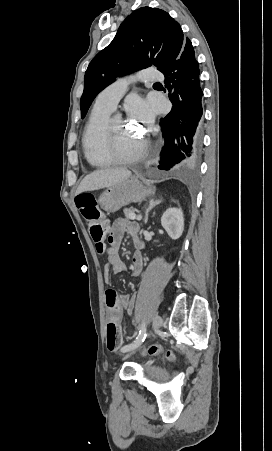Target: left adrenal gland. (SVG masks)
I'll use <instances>...</instances> for the list:
<instances>
[{
	"instance_id": "1",
	"label": "left adrenal gland",
	"mask_w": 272,
	"mask_h": 451,
	"mask_svg": "<svg viewBox=\"0 0 272 451\" xmlns=\"http://www.w3.org/2000/svg\"><path fill=\"white\" fill-rule=\"evenodd\" d=\"M161 202H162V200H150L149 206L145 212V220H144L145 224H147V222H148V214H149L150 210H152V208H154V206H158V204H161Z\"/></svg>"
}]
</instances>
